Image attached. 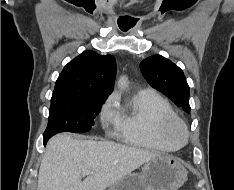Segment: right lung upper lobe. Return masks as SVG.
Masks as SVG:
<instances>
[{
    "label": "right lung upper lobe",
    "instance_id": "cb5924a9",
    "mask_svg": "<svg viewBox=\"0 0 234 190\" xmlns=\"http://www.w3.org/2000/svg\"><path fill=\"white\" fill-rule=\"evenodd\" d=\"M115 75L113 56L85 51L64 67L53 92L106 100L113 90Z\"/></svg>",
    "mask_w": 234,
    "mask_h": 190
}]
</instances>
